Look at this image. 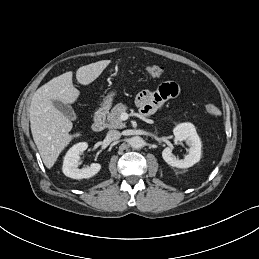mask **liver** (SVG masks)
Segmentation results:
<instances>
[{
  "instance_id": "liver-1",
  "label": "liver",
  "mask_w": 259,
  "mask_h": 259,
  "mask_svg": "<svg viewBox=\"0 0 259 259\" xmlns=\"http://www.w3.org/2000/svg\"><path fill=\"white\" fill-rule=\"evenodd\" d=\"M111 60H101L80 67L76 79L88 85L97 79ZM73 73L66 72L53 78L34 93L30 105V127L34 142L44 165L50 169L59 154L80 133L71 135L73 124L54 105L53 101L65 104L74 103L80 95L72 82Z\"/></svg>"
}]
</instances>
